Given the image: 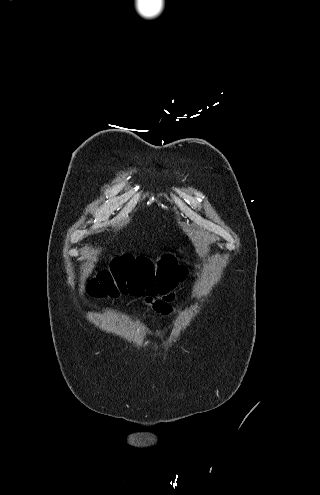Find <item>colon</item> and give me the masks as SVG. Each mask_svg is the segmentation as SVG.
<instances>
[{
  "label": "colon",
  "instance_id": "obj_1",
  "mask_svg": "<svg viewBox=\"0 0 320 495\" xmlns=\"http://www.w3.org/2000/svg\"><path fill=\"white\" fill-rule=\"evenodd\" d=\"M175 255H164L154 263L147 257L125 254L115 257L88 283V292L97 298L116 297L119 293H164L183 277Z\"/></svg>",
  "mask_w": 320,
  "mask_h": 495
}]
</instances>
